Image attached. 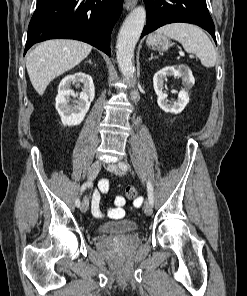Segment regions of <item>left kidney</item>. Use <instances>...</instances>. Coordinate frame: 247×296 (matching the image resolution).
Instances as JSON below:
<instances>
[{"label": "left kidney", "instance_id": "5707ae66", "mask_svg": "<svg viewBox=\"0 0 247 296\" xmlns=\"http://www.w3.org/2000/svg\"><path fill=\"white\" fill-rule=\"evenodd\" d=\"M168 76L181 78L184 85V89H182L178 94V99L173 103L169 102L167 99L168 95L163 93L164 81H166V77ZM194 83L195 79L192 75V72L185 65H180L178 67H165L161 69L155 73L153 77L154 90L158 96V106L166 113H181L189 102L188 92Z\"/></svg>", "mask_w": 247, "mask_h": 296}]
</instances>
